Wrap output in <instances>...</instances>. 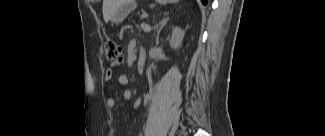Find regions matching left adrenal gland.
I'll use <instances>...</instances> for the list:
<instances>
[{
    "mask_svg": "<svg viewBox=\"0 0 325 136\" xmlns=\"http://www.w3.org/2000/svg\"><path fill=\"white\" fill-rule=\"evenodd\" d=\"M168 21L169 17H165L155 26V28L157 29L156 44L159 43V34Z\"/></svg>",
    "mask_w": 325,
    "mask_h": 136,
    "instance_id": "left-adrenal-gland-1",
    "label": "left adrenal gland"
}]
</instances>
